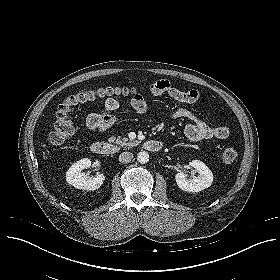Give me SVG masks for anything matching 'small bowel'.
Segmentation results:
<instances>
[{"mask_svg": "<svg viewBox=\"0 0 280 280\" xmlns=\"http://www.w3.org/2000/svg\"><path fill=\"white\" fill-rule=\"evenodd\" d=\"M149 91L154 96L167 94L174 100L185 104L196 103L201 96L196 89L182 90L166 80L152 82L149 85ZM130 103L136 112L143 113L148 109V105L141 95L132 97ZM118 108L119 102L116 99L107 98L101 112L91 113L87 117V125L101 131L108 130L118 119L116 115ZM168 116L171 119H186L188 121L184 128V134L190 142H203L212 138L226 139L230 135V129L227 126L211 125L188 108L175 109Z\"/></svg>", "mask_w": 280, "mask_h": 280, "instance_id": "1", "label": "small bowel"}]
</instances>
